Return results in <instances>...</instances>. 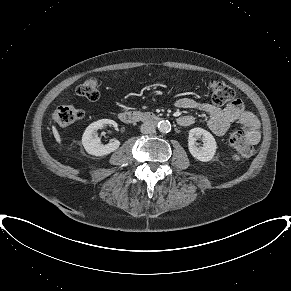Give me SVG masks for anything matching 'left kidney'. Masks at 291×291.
Instances as JSON below:
<instances>
[{
    "label": "left kidney",
    "mask_w": 291,
    "mask_h": 291,
    "mask_svg": "<svg viewBox=\"0 0 291 291\" xmlns=\"http://www.w3.org/2000/svg\"><path fill=\"white\" fill-rule=\"evenodd\" d=\"M199 138L203 140V146L200 147L196 143ZM188 149L195 159L201 162H208L214 157L217 144L210 132L202 128H193L189 131Z\"/></svg>",
    "instance_id": "obj_1"
}]
</instances>
